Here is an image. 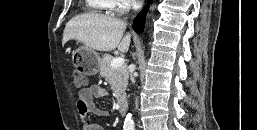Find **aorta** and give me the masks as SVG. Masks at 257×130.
Segmentation results:
<instances>
[{
  "mask_svg": "<svg viewBox=\"0 0 257 130\" xmlns=\"http://www.w3.org/2000/svg\"><path fill=\"white\" fill-rule=\"evenodd\" d=\"M134 129V122L132 119V115L128 114L124 121V130H133Z\"/></svg>",
  "mask_w": 257,
  "mask_h": 130,
  "instance_id": "762f6f07",
  "label": "aorta"
}]
</instances>
